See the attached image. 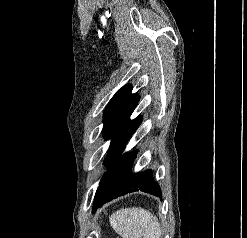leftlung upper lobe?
Masks as SVG:
<instances>
[{
  "label": "left lung upper lobe",
  "mask_w": 247,
  "mask_h": 238,
  "mask_svg": "<svg viewBox=\"0 0 247 238\" xmlns=\"http://www.w3.org/2000/svg\"><path fill=\"white\" fill-rule=\"evenodd\" d=\"M131 85H125L112 97L104 112L103 135L111 138V145L105 163L111 164L120 154L130 137L142 122V116L130 120L140 99L138 94H132ZM97 192L93 212L96 210Z\"/></svg>",
  "instance_id": "left-lung-upper-lobe-1"
}]
</instances>
